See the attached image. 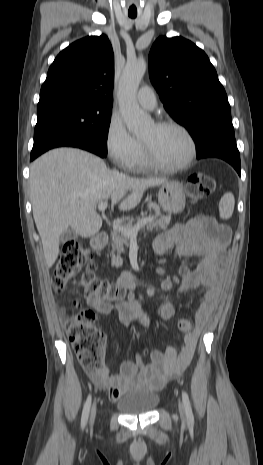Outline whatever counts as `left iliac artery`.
Returning <instances> with one entry per match:
<instances>
[{
	"mask_svg": "<svg viewBox=\"0 0 263 465\" xmlns=\"http://www.w3.org/2000/svg\"><path fill=\"white\" fill-rule=\"evenodd\" d=\"M182 400H183V404H184V408H185L188 423L192 425L194 423V417H193V413H192V408H191L189 396L185 391L182 392Z\"/></svg>",
	"mask_w": 263,
	"mask_h": 465,
	"instance_id": "1",
	"label": "left iliac artery"
}]
</instances>
